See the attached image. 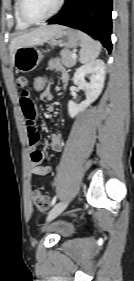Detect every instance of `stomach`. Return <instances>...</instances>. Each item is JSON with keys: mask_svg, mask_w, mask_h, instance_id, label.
I'll use <instances>...</instances> for the list:
<instances>
[{"mask_svg": "<svg viewBox=\"0 0 134 281\" xmlns=\"http://www.w3.org/2000/svg\"><path fill=\"white\" fill-rule=\"evenodd\" d=\"M81 42V32L68 27H62V29L53 35L47 43L50 46L76 48ZM42 58V52L35 46L21 47L14 53L13 66L19 72L28 73L33 71L39 65Z\"/></svg>", "mask_w": 134, "mask_h": 281, "instance_id": "0dacf381", "label": "stomach"}]
</instances>
